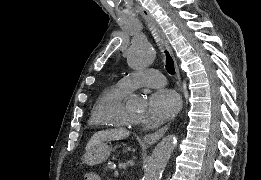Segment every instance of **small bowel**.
Returning <instances> with one entry per match:
<instances>
[{"mask_svg": "<svg viewBox=\"0 0 261 180\" xmlns=\"http://www.w3.org/2000/svg\"><path fill=\"white\" fill-rule=\"evenodd\" d=\"M86 180H98V175L94 172H88L85 175Z\"/></svg>", "mask_w": 261, "mask_h": 180, "instance_id": "small-bowel-1", "label": "small bowel"}]
</instances>
